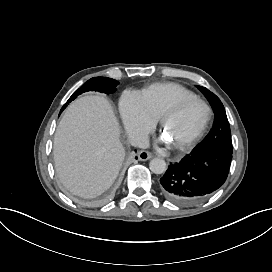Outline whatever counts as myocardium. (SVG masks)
Wrapping results in <instances>:
<instances>
[{
  "label": "myocardium",
  "instance_id": "obj_1",
  "mask_svg": "<svg viewBox=\"0 0 272 272\" xmlns=\"http://www.w3.org/2000/svg\"><path fill=\"white\" fill-rule=\"evenodd\" d=\"M192 105H198L201 107L203 111V117L200 124L197 128L188 136L186 141L183 144V150L189 148L198 137L204 132L207 127L209 118H210V108L209 106L199 98H177L170 105H168L161 114V124L165 128L166 127V117L169 114H177Z\"/></svg>",
  "mask_w": 272,
  "mask_h": 272
}]
</instances>
